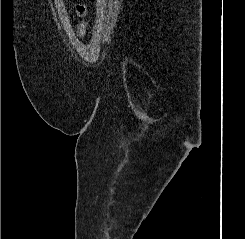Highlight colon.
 <instances>
[{
	"mask_svg": "<svg viewBox=\"0 0 245 239\" xmlns=\"http://www.w3.org/2000/svg\"><path fill=\"white\" fill-rule=\"evenodd\" d=\"M77 12L80 16H84L87 12V8L85 5L83 4H80L77 6ZM85 29H86V26H85V23H80L79 26H78V32L80 35H83L85 33Z\"/></svg>",
	"mask_w": 245,
	"mask_h": 239,
	"instance_id": "5ec220e1",
	"label": "colon"
}]
</instances>
